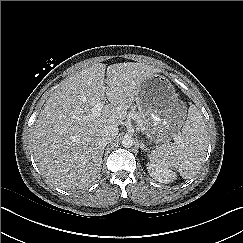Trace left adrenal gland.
I'll list each match as a JSON object with an SVG mask.
<instances>
[{"instance_id":"left-adrenal-gland-1","label":"left adrenal gland","mask_w":243,"mask_h":243,"mask_svg":"<svg viewBox=\"0 0 243 243\" xmlns=\"http://www.w3.org/2000/svg\"><path fill=\"white\" fill-rule=\"evenodd\" d=\"M140 149L143 152H147V150H148L147 147L145 146V144L143 142H140Z\"/></svg>"}]
</instances>
